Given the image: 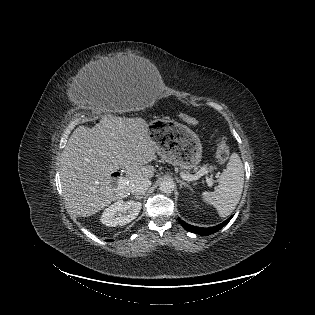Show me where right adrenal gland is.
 <instances>
[{"label":"right adrenal gland","instance_id":"2a0ac1e0","mask_svg":"<svg viewBox=\"0 0 315 315\" xmlns=\"http://www.w3.org/2000/svg\"><path fill=\"white\" fill-rule=\"evenodd\" d=\"M133 198L137 199V200H141L143 198V195L142 196H134Z\"/></svg>","mask_w":315,"mask_h":315}]
</instances>
